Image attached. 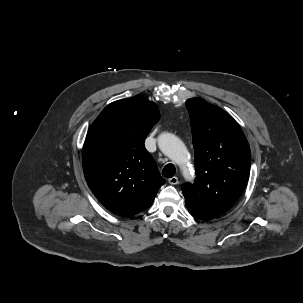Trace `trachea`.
Returning a JSON list of instances; mask_svg holds the SVG:
<instances>
[{
    "instance_id": "obj_1",
    "label": "trachea",
    "mask_w": 303,
    "mask_h": 303,
    "mask_svg": "<svg viewBox=\"0 0 303 303\" xmlns=\"http://www.w3.org/2000/svg\"><path fill=\"white\" fill-rule=\"evenodd\" d=\"M175 172V166L173 164H167L162 170V175L166 178H171L174 176Z\"/></svg>"
}]
</instances>
